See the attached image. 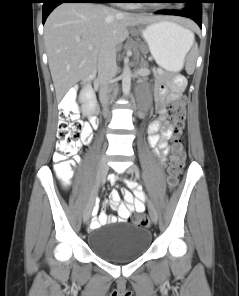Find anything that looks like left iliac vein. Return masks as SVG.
<instances>
[{"mask_svg":"<svg viewBox=\"0 0 239 296\" xmlns=\"http://www.w3.org/2000/svg\"><path fill=\"white\" fill-rule=\"evenodd\" d=\"M127 172L130 174L137 175L136 166H134V165L129 166L127 168ZM148 210H149L151 220L153 221L154 224H157L158 223V214H157L154 204L150 200L148 201Z\"/></svg>","mask_w":239,"mask_h":296,"instance_id":"1","label":"left iliac vein"}]
</instances>
